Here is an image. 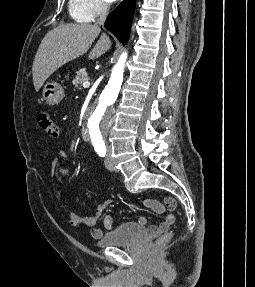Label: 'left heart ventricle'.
I'll use <instances>...</instances> for the list:
<instances>
[{"mask_svg":"<svg viewBox=\"0 0 255 287\" xmlns=\"http://www.w3.org/2000/svg\"><path fill=\"white\" fill-rule=\"evenodd\" d=\"M92 39H100V38H92ZM90 48H98V47H90Z\"/></svg>","mask_w":255,"mask_h":287,"instance_id":"obj_1","label":"left heart ventricle"}]
</instances>
